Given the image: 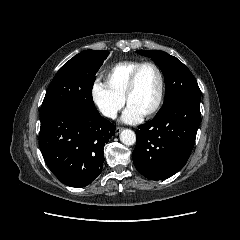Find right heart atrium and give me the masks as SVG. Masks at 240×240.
Listing matches in <instances>:
<instances>
[{"mask_svg": "<svg viewBox=\"0 0 240 240\" xmlns=\"http://www.w3.org/2000/svg\"><path fill=\"white\" fill-rule=\"evenodd\" d=\"M90 94L94 106L107 118H115L125 103L122 96L112 90L106 82L99 79L92 83Z\"/></svg>", "mask_w": 240, "mask_h": 240, "instance_id": "1", "label": "right heart atrium"}]
</instances>
